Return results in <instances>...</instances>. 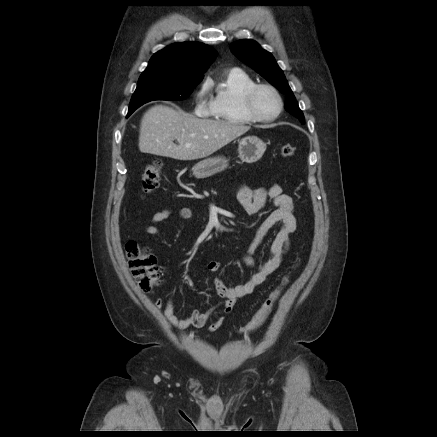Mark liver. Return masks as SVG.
Instances as JSON below:
<instances>
[{"label":"liver","instance_id":"6515ba94","mask_svg":"<svg viewBox=\"0 0 437 437\" xmlns=\"http://www.w3.org/2000/svg\"><path fill=\"white\" fill-rule=\"evenodd\" d=\"M249 129V126L200 119L182 110L155 105L141 119L139 150L177 160H197L210 156Z\"/></svg>","mask_w":437,"mask_h":437}]
</instances>
